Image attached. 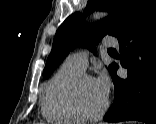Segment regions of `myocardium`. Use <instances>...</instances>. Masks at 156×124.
Listing matches in <instances>:
<instances>
[{
  "label": "myocardium",
  "mask_w": 156,
  "mask_h": 124,
  "mask_svg": "<svg viewBox=\"0 0 156 124\" xmlns=\"http://www.w3.org/2000/svg\"><path fill=\"white\" fill-rule=\"evenodd\" d=\"M90 79L94 80V78L90 75L87 74H81L78 76L69 86L66 94H65V104L69 111L75 116V118L78 121H94L99 119L104 115L106 110L108 109L109 106V99L108 97L106 98L103 106L99 111L93 114H87L85 113L79 105L78 101V93H79V88L82 84L83 81Z\"/></svg>",
  "instance_id": "1"
}]
</instances>
